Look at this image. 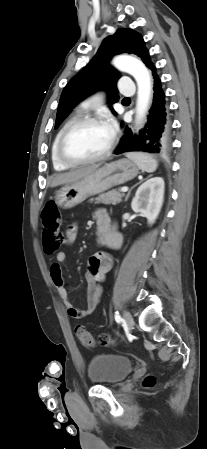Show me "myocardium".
I'll list each match as a JSON object with an SVG mask.
<instances>
[{"mask_svg": "<svg viewBox=\"0 0 207 449\" xmlns=\"http://www.w3.org/2000/svg\"><path fill=\"white\" fill-rule=\"evenodd\" d=\"M84 124H104L105 120L101 117H95V116H84V117H79L76 118L74 120H72L62 131L59 140H58V144H57V155L59 160L69 166V167H75V166H81V165H87V164H92V163H96L99 161L104 160L105 158H107L111 152L113 151L115 144H116V134L113 133L110 143L107 146V148L104 150V152H102L101 154H99L98 156L92 157V158H87V159H74L69 157L64 150V144L65 141L68 137V135L70 134V132L75 129L76 127L80 126V125H84Z\"/></svg>", "mask_w": 207, "mask_h": 449, "instance_id": "f54148a6", "label": "myocardium"}]
</instances>
